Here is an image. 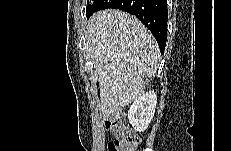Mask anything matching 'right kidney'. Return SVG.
Returning <instances> with one entry per match:
<instances>
[{
  "instance_id": "ca27d5eb",
  "label": "right kidney",
  "mask_w": 231,
  "mask_h": 151,
  "mask_svg": "<svg viewBox=\"0 0 231 151\" xmlns=\"http://www.w3.org/2000/svg\"><path fill=\"white\" fill-rule=\"evenodd\" d=\"M157 104V96L154 91H149L140 96L130 106L128 119L133 128L138 132L147 129L152 121Z\"/></svg>"
}]
</instances>
